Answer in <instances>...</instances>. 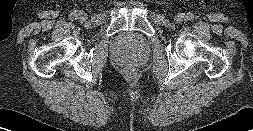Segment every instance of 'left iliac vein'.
I'll list each match as a JSON object with an SVG mask.
<instances>
[{"label": "left iliac vein", "instance_id": "4c4485c4", "mask_svg": "<svg viewBox=\"0 0 253 131\" xmlns=\"http://www.w3.org/2000/svg\"><path fill=\"white\" fill-rule=\"evenodd\" d=\"M174 20L177 22V23H181L183 22L184 20H186V16L182 13H179L175 16Z\"/></svg>", "mask_w": 253, "mask_h": 131}]
</instances>
